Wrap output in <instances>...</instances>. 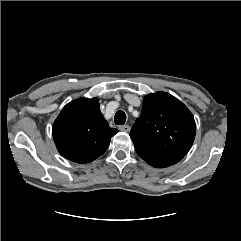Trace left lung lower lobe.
Wrapping results in <instances>:
<instances>
[{
    "label": "left lung lower lobe",
    "mask_w": 241,
    "mask_h": 241,
    "mask_svg": "<svg viewBox=\"0 0 241 241\" xmlns=\"http://www.w3.org/2000/svg\"><path fill=\"white\" fill-rule=\"evenodd\" d=\"M136 149L137 154L149 165L156 168H164L179 162L183 157L167 154H156L141 149Z\"/></svg>",
    "instance_id": "left-lung-lower-lobe-1"
}]
</instances>
